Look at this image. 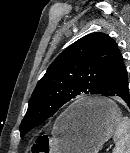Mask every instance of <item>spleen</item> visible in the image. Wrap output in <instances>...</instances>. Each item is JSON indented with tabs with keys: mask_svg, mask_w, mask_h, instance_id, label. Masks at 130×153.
Returning a JSON list of instances; mask_svg holds the SVG:
<instances>
[{
	"mask_svg": "<svg viewBox=\"0 0 130 153\" xmlns=\"http://www.w3.org/2000/svg\"><path fill=\"white\" fill-rule=\"evenodd\" d=\"M113 153H130V119L122 117L114 132Z\"/></svg>",
	"mask_w": 130,
	"mask_h": 153,
	"instance_id": "1",
	"label": "spleen"
}]
</instances>
